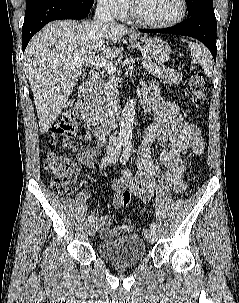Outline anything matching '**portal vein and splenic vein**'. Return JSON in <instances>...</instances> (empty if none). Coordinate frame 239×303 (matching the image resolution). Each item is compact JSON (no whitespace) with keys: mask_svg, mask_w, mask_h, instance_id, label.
<instances>
[{"mask_svg":"<svg viewBox=\"0 0 239 303\" xmlns=\"http://www.w3.org/2000/svg\"><path fill=\"white\" fill-rule=\"evenodd\" d=\"M75 63H79V64H92L95 65L97 67H103L105 69L108 70V72H112L115 73L116 72V67L111 64L109 61H107L104 58H100V57H88V58H81L75 61ZM142 65L144 68L148 69L149 71H156L159 72L161 71L159 68H153L151 66V64L146 63V62H142Z\"/></svg>","mask_w":239,"mask_h":303,"instance_id":"18ae733b","label":"portal vein and splenic vein"}]
</instances>
